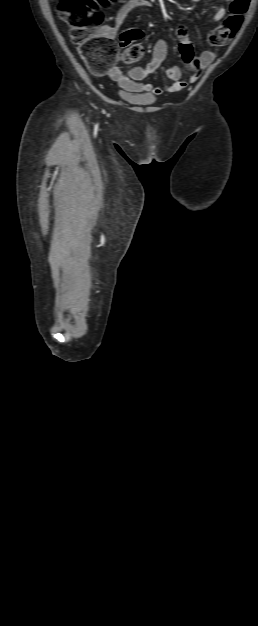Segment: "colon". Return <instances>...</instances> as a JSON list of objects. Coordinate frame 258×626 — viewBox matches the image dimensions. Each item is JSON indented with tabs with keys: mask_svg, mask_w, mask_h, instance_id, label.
<instances>
[{
	"mask_svg": "<svg viewBox=\"0 0 258 626\" xmlns=\"http://www.w3.org/2000/svg\"><path fill=\"white\" fill-rule=\"evenodd\" d=\"M123 0H58L57 11L60 18L69 26L72 41L79 46V52L91 69L101 73L107 69L115 56L117 46L107 43L98 34L104 15L102 8L121 3ZM250 0H230L229 14L211 36V43L216 46L227 44L238 32L248 10ZM141 31L132 29L122 33L121 47L125 49L124 60L136 62L144 54V48L134 40L141 36ZM190 81H196L195 76Z\"/></svg>",
	"mask_w": 258,
	"mask_h": 626,
	"instance_id": "5ec220e1",
	"label": "colon"
}]
</instances>
